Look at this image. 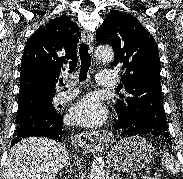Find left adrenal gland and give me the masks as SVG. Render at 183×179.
<instances>
[{"instance_id": "left-adrenal-gland-1", "label": "left adrenal gland", "mask_w": 183, "mask_h": 179, "mask_svg": "<svg viewBox=\"0 0 183 179\" xmlns=\"http://www.w3.org/2000/svg\"><path fill=\"white\" fill-rule=\"evenodd\" d=\"M110 179H121L117 174H112Z\"/></svg>"}]
</instances>
